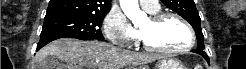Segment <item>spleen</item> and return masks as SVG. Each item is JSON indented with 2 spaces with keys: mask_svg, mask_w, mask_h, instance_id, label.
<instances>
[{
  "mask_svg": "<svg viewBox=\"0 0 246 69\" xmlns=\"http://www.w3.org/2000/svg\"><path fill=\"white\" fill-rule=\"evenodd\" d=\"M195 69H202L200 65H196Z\"/></svg>",
  "mask_w": 246,
  "mask_h": 69,
  "instance_id": "3e777b00",
  "label": "spleen"
}]
</instances>
